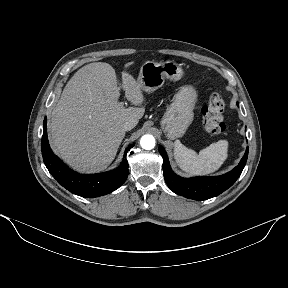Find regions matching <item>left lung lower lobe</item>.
<instances>
[{
    "label": "left lung lower lobe",
    "mask_w": 288,
    "mask_h": 288,
    "mask_svg": "<svg viewBox=\"0 0 288 288\" xmlns=\"http://www.w3.org/2000/svg\"><path fill=\"white\" fill-rule=\"evenodd\" d=\"M159 152L163 158L164 179L170 190L178 195L194 200H206L227 190L241 175L248 157L247 147L238 166L224 175L182 178L172 171L165 149L160 146Z\"/></svg>",
    "instance_id": "1"
}]
</instances>
